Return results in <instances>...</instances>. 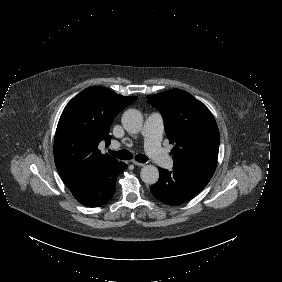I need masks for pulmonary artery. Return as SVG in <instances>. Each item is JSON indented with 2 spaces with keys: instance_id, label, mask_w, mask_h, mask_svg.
Segmentation results:
<instances>
[{
  "instance_id": "e3ab8cb5",
  "label": "pulmonary artery",
  "mask_w": 282,
  "mask_h": 282,
  "mask_svg": "<svg viewBox=\"0 0 282 282\" xmlns=\"http://www.w3.org/2000/svg\"><path fill=\"white\" fill-rule=\"evenodd\" d=\"M164 129L163 119L160 114L153 113L149 115L142 128V136L144 138V147L148 157L155 161L156 165L161 169L168 168L172 163L171 156L165 152L161 144V137ZM119 143H113L112 148H118Z\"/></svg>"
}]
</instances>
